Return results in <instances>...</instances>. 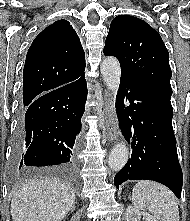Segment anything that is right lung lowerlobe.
Returning a JSON list of instances; mask_svg holds the SVG:
<instances>
[{"label":"right lung lower lobe","mask_w":190,"mask_h":221,"mask_svg":"<svg viewBox=\"0 0 190 221\" xmlns=\"http://www.w3.org/2000/svg\"><path fill=\"white\" fill-rule=\"evenodd\" d=\"M86 98L83 75L38 96L26 106L21 105L14 143V169L74 163Z\"/></svg>","instance_id":"obj_1"}]
</instances>
